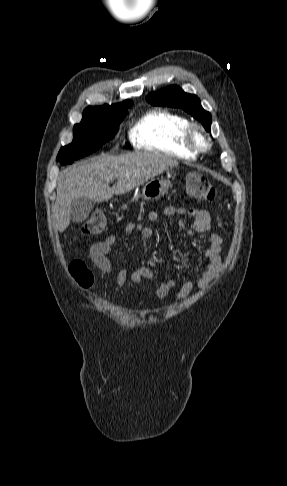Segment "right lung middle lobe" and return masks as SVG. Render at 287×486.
Wrapping results in <instances>:
<instances>
[{
	"instance_id": "1",
	"label": "right lung middle lobe",
	"mask_w": 287,
	"mask_h": 486,
	"mask_svg": "<svg viewBox=\"0 0 287 486\" xmlns=\"http://www.w3.org/2000/svg\"><path fill=\"white\" fill-rule=\"evenodd\" d=\"M126 114L84 111L82 121L74 126L72 143L61 148L57 160L64 165L95 152L114 137Z\"/></svg>"
}]
</instances>
